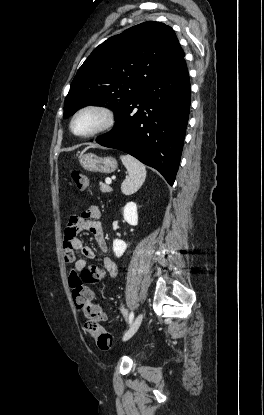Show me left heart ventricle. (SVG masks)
<instances>
[{
	"mask_svg": "<svg viewBox=\"0 0 264 415\" xmlns=\"http://www.w3.org/2000/svg\"><path fill=\"white\" fill-rule=\"evenodd\" d=\"M103 120L102 114L95 111H86L77 117L74 123V130L80 134L89 133L100 126Z\"/></svg>",
	"mask_w": 264,
	"mask_h": 415,
	"instance_id": "b2bd125f",
	"label": "left heart ventricle"
}]
</instances>
